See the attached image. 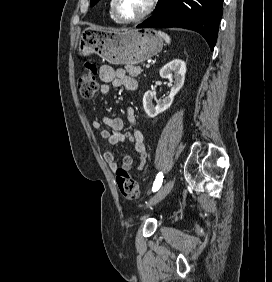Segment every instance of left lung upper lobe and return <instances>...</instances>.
I'll return each mask as SVG.
<instances>
[{
  "instance_id": "left-lung-upper-lobe-1",
  "label": "left lung upper lobe",
  "mask_w": 272,
  "mask_h": 282,
  "mask_svg": "<svg viewBox=\"0 0 272 282\" xmlns=\"http://www.w3.org/2000/svg\"><path fill=\"white\" fill-rule=\"evenodd\" d=\"M99 0H91V6L95 5Z\"/></svg>"
}]
</instances>
